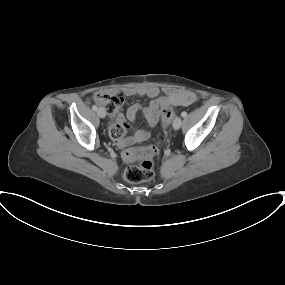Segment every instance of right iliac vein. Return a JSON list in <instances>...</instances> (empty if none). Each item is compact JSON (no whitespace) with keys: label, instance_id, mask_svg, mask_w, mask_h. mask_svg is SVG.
Instances as JSON below:
<instances>
[{"label":"right iliac vein","instance_id":"right-iliac-vein-1","mask_svg":"<svg viewBox=\"0 0 285 285\" xmlns=\"http://www.w3.org/2000/svg\"><path fill=\"white\" fill-rule=\"evenodd\" d=\"M97 114L100 118H104L106 116V111L103 108H99Z\"/></svg>","mask_w":285,"mask_h":285}]
</instances>
